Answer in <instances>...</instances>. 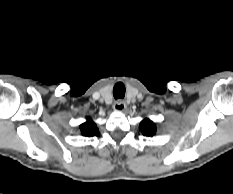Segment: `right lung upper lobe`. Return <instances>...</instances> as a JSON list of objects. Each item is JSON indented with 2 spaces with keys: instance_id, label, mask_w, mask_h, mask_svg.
Masks as SVG:
<instances>
[{
  "instance_id": "1",
  "label": "right lung upper lobe",
  "mask_w": 233,
  "mask_h": 194,
  "mask_svg": "<svg viewBox=\"0 0 233 194\" xmlns=\"http://www.w3.org/2000/svg\"><path fill=\"white\" fill-rule=\"evenodd\" d=\"M81 134L83 136H95L99 134V130L96 124L91 120V118H87V121L80 125Z\"/></svg>"
}]
</instances>
